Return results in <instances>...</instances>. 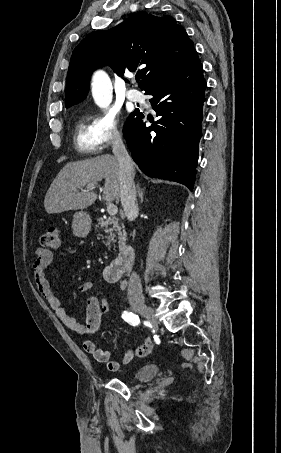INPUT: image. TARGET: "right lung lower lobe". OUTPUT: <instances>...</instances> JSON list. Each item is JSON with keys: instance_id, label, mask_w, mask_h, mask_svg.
<instances>
[{"instance_id": "98d812e1", "label": "right lung lower lobe", "mask_w": 281, "mask_h": 453, "mask_svg": "<svg viewBox=\"0 0 281 453\" xmlns=\"http://www.w3.org/2000/svg\"><path fill=\"white\" fill-rule=\"evenodd\" d=\"M205 88L202 64L195 51L144 90L153 96L149 101L161 118L146 127L144 113L134 111L123 134L133 160L146 175L193 189Z\"/></svg>"}]
</instances>
